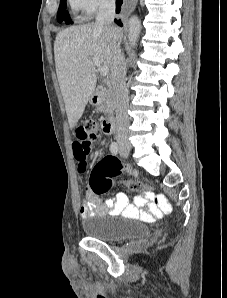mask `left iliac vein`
Here are the masks:
<instances>
[{
	"mask_svg": "<svg viewBox=\"0 0 227 298\" xmlns=\"http://www.w3.org/2000/svg\"><path fill=\"white\" fill-rule=\"evenodd\" d=\"M129 154V151L127 149H125L124 147L120 148V156L123 158H126Z\"/></svg>",
	"mask_w": 227,
	"mask_h": 298,
	"instance_id": "obj_1",
	"label": "left iliac vein"
}]
</instances>
